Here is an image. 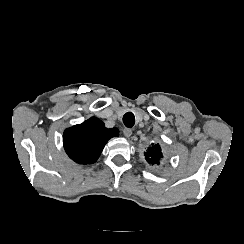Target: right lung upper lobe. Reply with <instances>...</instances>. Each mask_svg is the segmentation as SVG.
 Listing matches in <instances>:
<instances>
[{
    "label": "right lung upper lobe",
    "mask_w": 244,
    "mask_h": 244,
    "mask_svg": "<svg viewBox=\"0 0 244 244\" xmlns=\"http://www.w3.org/2000/svg\"><path fill=\"white\" fill-rule=\"evenodd\" d=\"M119 135L116 128L108 129L96 117L64 131L63 144L68 156L79 164H92L99 158L105 144Z\"/></svg>",
    "instance_id": "1"
}]
</instances>
